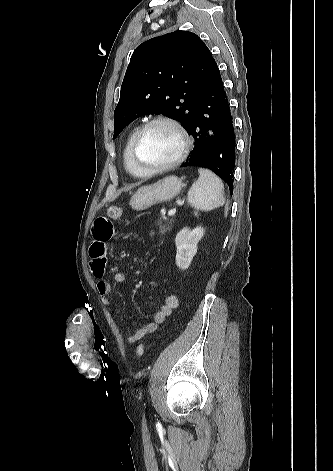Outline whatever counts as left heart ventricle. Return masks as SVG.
Masks as SVG:
<instances>
[{"instance_id":"b2bd125f","label":"left heart ventricle","mask_w":333,"mask_h":471,"mask_svg":"<svg viewBox=\"0 0 333 471\" xmlns=\"http://www.w3.org/2000/svg\"><path fill=\"white\" fill-rule=\"evenodd\" d=\"M177 132L167 124H155L146 133L139 157L146 165H161L174 160L180 153Z\"/></svg>"}]
</instances>
